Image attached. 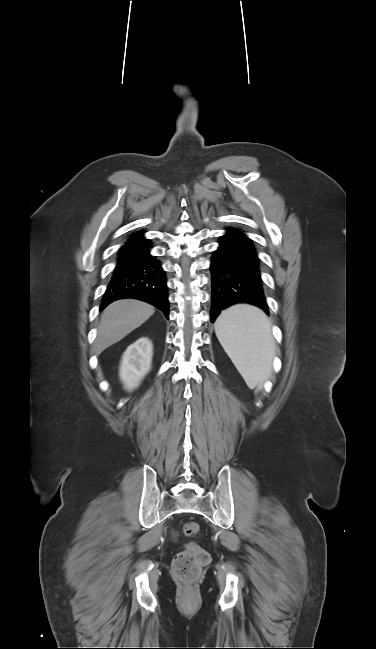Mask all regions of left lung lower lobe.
Instances as JSON below:
<instances>
[{"label":"left lung lower lobe","mask_w":376,"mask_h":649,"mask_svg":"<svg viewBox=\"0 0 376 649\" xmlns=\"http://www.w3.org/2000/svg\"><path fill=\"white\" fill-rule=\"evenodd\" d=\"M213 252L211 322L221 310L236 303H250L269 313L260 277V260L252 241L239 230L230 229L220 237Z\"/></svg>","instance_id":"obj_1"}]
</instances>
